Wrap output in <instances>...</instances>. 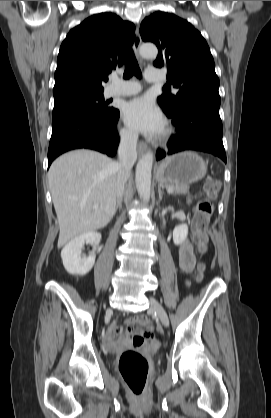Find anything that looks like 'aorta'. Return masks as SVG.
I'll return each instance as SVG.
<instances>
[{"instance_id": "aorta-1", "label": "aorta", "mask_w": 271, "mask_h": 418, "mask_svg": "<svg viewBox=\"0 0 271 418\" xmlns=\"http://www.w3.org/2000/svg\"><path fill=\"white\" fill-rule=\"evenodd\" d=\"M140 54L145 58H156L157 47L153 44H144L140 47ZM153 153L148 151L138 161L136 166L135 182L140 198L144 202L150 200L151 195V170L153 165Z\"/></svg>"}]
</instances>
